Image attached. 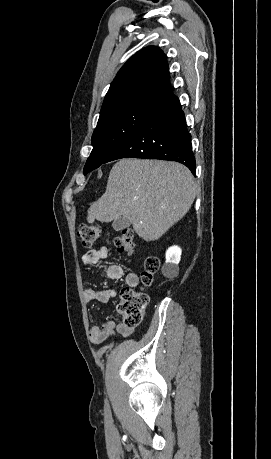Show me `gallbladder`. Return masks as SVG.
Here are the masks:
<instances>
[{"label":"gallbladder","mask_w":271,"mask_h":459,"mask_svg":"<svg viewBox=\"0 0 271 459\" xmlns=\"http://www.w3.org/2000/svg\"><path fill=\"white\" fill-rule=\"evenodd\" d=\"M131 226L130 220H126V218H118V220H114L112 224V228L115 229V231H119V229H125L129 228Z\"/></svg>","instance_id":"gallbladder-1"}]
</instances>
